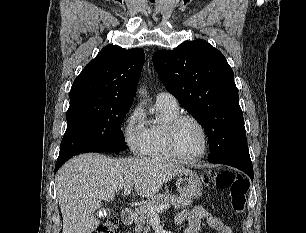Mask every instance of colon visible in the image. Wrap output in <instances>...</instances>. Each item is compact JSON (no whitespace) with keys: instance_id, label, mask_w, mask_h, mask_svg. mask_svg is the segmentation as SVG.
<instances>
[{"instance_id":"5ec220e1","label":"colon","mask_w":306,"mask_h":233,"mask_svg":"<svg viewBox=\"0 0 306 233\" xmlns=\"http://www.w3.org/2000/svg\"><path fill=\"white\" fill-rule=\"evenodd\" d=\"M204 183L209 187L226 188L230 191L231 208L236 213H243L247 203L250 182L244 176L231 170H208L203 174ZM95 233H119L117 219L107 218Z\"/></svg>"}]
</instances>
